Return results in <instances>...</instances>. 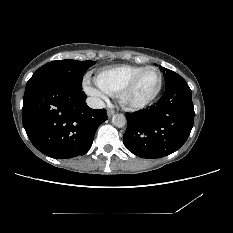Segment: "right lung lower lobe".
I'll use <instances>...</instances> for the list:
<instances>
[{"label": "right lung lower lobe", "instance_id": "right-lung-lower-lobe-1", "mask_svg": "<svg viewBox=\"0 0 233 233\" xmlns=\"http://www.w3.org/2000/svg\"><path fill=\"white\" fill-rule=\"evenodd\" d=\"M86 94L60 83L25 90L22 122L32 144L55 159L84 155L97 128L107 120L105 109H91Z\"/></svg>", "mask_w": 233, "mask_h": 233}]
</instances>
